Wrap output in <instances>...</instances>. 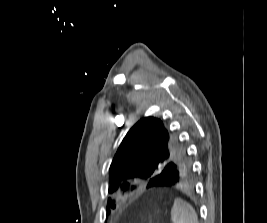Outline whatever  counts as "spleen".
I'll return each instance as SVG.
<instances>
[{
  "instance_id": "3e777b00",
  "label": "spleen",
  "mask_w": 267,
  "mask_h": 223,
  "mask_svg": "<svg viewBox=\"0 0 267 223\" xmlns=\"http://www.w3.org/2000/svg\"><path fill=\"white\" fill-rule=\"evenodd\" d=\"M171 219L173 223H199L194 208L180 198L174 200Z\"/></svg>"
}]
</instances>
